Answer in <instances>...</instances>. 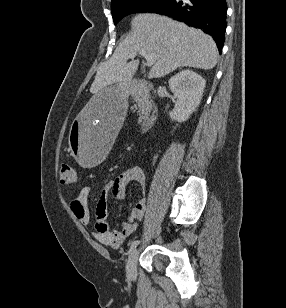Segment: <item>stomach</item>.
Instances as JSON below:
<instances>
[{
	"label": "stomach",
	"instance_id": "stomach-1",
	"mask_svg": "<svg viewBox=\"0 0 286 308\" xmlns=\"http://www.w3.org/2000/svg\"><path fill=\"white\" fill-rule=\"evenodd\" d=\"M127 92L130 85H103L93 97H87L85 109L69 122L70 151L76 165L95 167L106 161L129 107Z\"/></svg>",
	"mask_w": 286,
	"mask_h": 308
}]
</instances>
